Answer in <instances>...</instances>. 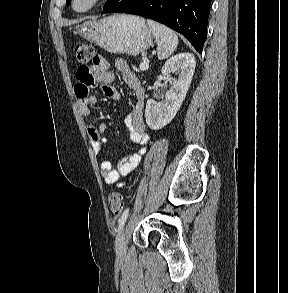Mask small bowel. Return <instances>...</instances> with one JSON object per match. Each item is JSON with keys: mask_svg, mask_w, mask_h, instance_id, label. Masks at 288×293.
Masks as SVG:
<instances>
[{"mask_svg": "<svg viewBox=\"0 0 288 293\" xmlns=\"http://www.w3.org/2000/svg\"><path fill=\"white\" fill-rule=\"evenodd\" d=\"M115 68L121 74L126 85L134 91L135 105L128 112L125 123L129 130L130 139L134 144L147 145L151 142V136L146 132L143 121V108L145 101V90L139 79L130 71L127 63L122 59H115ZM77 84L75 86V95L78 100L79 111L83 116L90 114V108L96 104L97 99L90 95L91 88L100 84L101 90L108 98L117 100L120 94L111 83L115 80L114 73L110 70V63L102 56H96L93 64L89 67L79 66L76 72ZM106 124L100 121L97 124H91L87 127V133L91 145L97 154L102 152L104 144L107 142L104 137ZM146 148H142L131 155L123 158L114 168L110 161L101 162L100 170L103 180L108 185L116 184L118 187L125 186V182H119L122 176H131L133 171L139 165Z\"/></svg>", "mask_w": 288, "mask_h": 293, "instance_id": "c3829d8e", "label": "small bowel"}]
</instances>
